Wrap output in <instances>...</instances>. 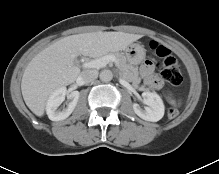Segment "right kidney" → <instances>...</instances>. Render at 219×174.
<instances>
[{"label":"right kidney","instance_id":"1","mask_svg":"<svg viewBox=\"0 0 219 174\" xmlns=\"http://www.w3.org/2000/svg\"><path fill=\"white\" fill-rule=\"evenodd\" d=\"M65 95H66V88L61 87L55 90L48 98L47 104H46V113L50 120L52 121L64 120L67 117H69L71 113L74 111L77 105L80 93L78 91L71 92V94L69 95L71 102L68 103L66 108H64L63 110H60L58 109V107L65 100Z\"/></svg>","mask_w":219,"mask_h":174}]
</instances>
